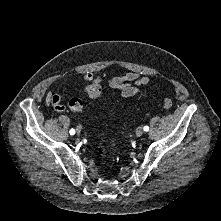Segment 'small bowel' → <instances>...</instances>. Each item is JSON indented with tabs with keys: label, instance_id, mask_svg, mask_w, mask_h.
Segmentation results:
<instances>
[{
	"label": "small bowel",
	"instance_id": "c3829d8e",
	"mask_svg": "<svg viewBox=\"0 0 221 221\" xmlns=\"http://www.w3.org/2000/svg\"><path fill=\"white\" fill-rule=\"evenodd\" d=\"M66 78L63 77L62 80ZM82 80L89 84H98L101 78L96 74L88 71L83 74ZM151 78L139 72H128L124 76H114L108 79V85L112 89L120 91L123 98H129L140 93L141 86L150 83ZM62 96L56 92H49L46 96V104L52 106L55 111L63 112L64 107L61 105Z\"/></svg>",
	"mask_w": 221,
	"mask_h": 221
}]
</instances>
